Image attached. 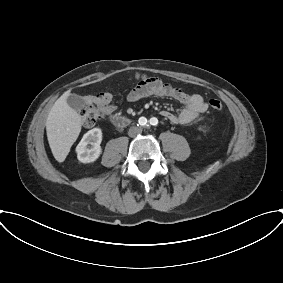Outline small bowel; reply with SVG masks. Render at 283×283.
Returning a JSON list of instances; mask_svg holds the SVG:
<instances>
[{
	"label": "small bowel",
	"mask_w": 283,
	"mask_h": 283,
	"mask_svg": "<svg viewBox=\"0 0 283 283\" xmlns=\"http://www.w3.org/2000/svg\"><path fill=\"white\" fill-rule=\"evenodd\" d=\"M149 96L171 97L184 105V108L178 114H174L168 110L161 111V115L174 124H189L208 108L207 103L199 94H189L180 88L162 84L159 81L154 84L148 82L146 79L139 82L128 92L126 100L134 103ZM112 100V93L107 91L85 97L86 103L98 105L106 115H110L116 110V106L112 103Z\"/></svg>",
	"instance_id": "c3829d8e"
}]
</instances>
